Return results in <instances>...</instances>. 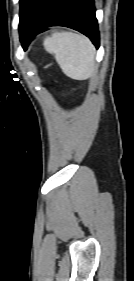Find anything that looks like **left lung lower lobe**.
<instances>
[{
  "label": "left lung lower lobe",
  "instance_id": "left-lung-lower-lobe-1",
  "mask_svg": "<svg viewBox=\"0 0 134 281\" xmlns=\"http://www.w3.org/2000/svg\"><path fill=\"white\" fill-rule=\"evenodd\" d=\"M49 26H65L88 36L99 47V32L93 0H41L20 32L24 50L32 38Z\"/></svg>",
  "mask_w": 134,
  "mask_h": 281
}]
</instances>
